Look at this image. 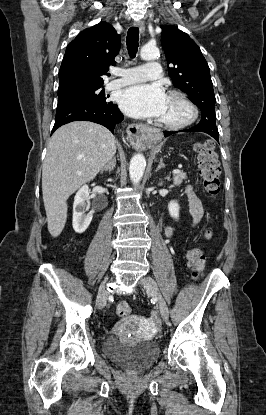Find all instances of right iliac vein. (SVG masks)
<instances>
[{"mask_svg":"<svg viewBox=\"0 0 266 415\" xmlns=\"http://www.w3.org/2000/svg\"><path fill=\"white\" fill-rule=\"evenodd\" d=\"M107 289H106V286L105 285H102L100 288H99V291H98V295H97V300H96V304H97V306L100 308V307H103L105 304H106V301H107Z\"/></svg>","mask_w":266,"mask_h":415,"instance_id":"right-iliac-vein-1","label":"right iliac vein"}]
</instances>
